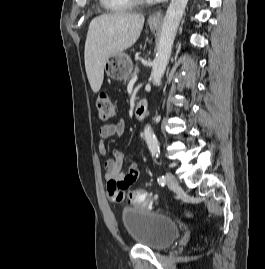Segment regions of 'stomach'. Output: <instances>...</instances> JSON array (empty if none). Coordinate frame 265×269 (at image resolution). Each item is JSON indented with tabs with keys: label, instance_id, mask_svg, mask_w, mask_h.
Returning a JSON list of instances; mask_svg holds the SVG:
<instances>
[{
	"label": "stomach",
	"instance_id": "1",
	"mask_svg": "<svg viewBox=\"0 0 265 269\" xmlns=\"http://www.w3.org/2000/svg\"><path fill=\"white\" fill-rule=\"evenodd\" d=\"M151 30L158 28L157 24H149ZM106 74L114 80L126 79L132 72L133 64L130 57L125 53L111 55L105 63Z\"/></svg>",
	"mask_w": 265,
	"mask_h": 269
}]
</instances>
